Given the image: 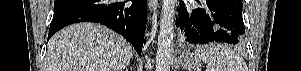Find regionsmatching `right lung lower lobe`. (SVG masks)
I'll return each mask as SVG.
<instances>
[{
    "instance_id": "1",
    "label": "right lung lower lobe",
    "mask_w": 301,
    "mask_h": 71,
    "mask_svg": "<svg viewBox=\"0 0 301 71\" xmlns=\"http://www.w3.org/2000/svg\"><path fill=\"white\" fill-rule=\"evenodd\" d=\"M55 0L48 39L77 22L103 24L121 34L141 54L146 29V0Z\"/></svg>"
}]
</instances>
